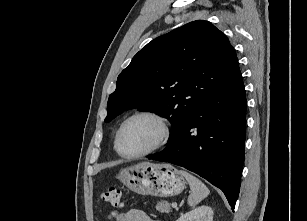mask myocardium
Returning a JSON list of instances; mask_svg holds the SVG:
<instances>
[{"mask_svg":"<svg viewBox=\"0 0 307 221\" xmlns=\"http://www.w3.org/2000/svg\"><path fill=\"white\" fill-rule=\"evenodd\" d=\"M140 117L150 118L158 124L160 128L159 137L157 138L155 143L147 150L140 152V153H136V154H126L120 148L121 135L129 122H131L134 119L140 118ZM170 136H171V127H170L168 120L163 115L157 112L145 110V111L136 112L123 121V123L121 124V126L119 127L116 133L114 145H115L116 151L120 154V156L127 158V159H136V158L147 156L157 151L161 147H163L168 142Z\"/></svg>","mask_w":307,"mask_h":221,"instance_id":"f54148a6","label":"myocardium"}]
</instances>
